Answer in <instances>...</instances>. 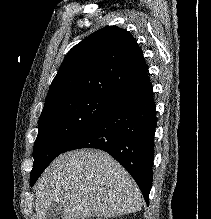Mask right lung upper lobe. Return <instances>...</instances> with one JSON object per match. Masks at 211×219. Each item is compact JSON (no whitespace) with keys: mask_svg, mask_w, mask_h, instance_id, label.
<instances>
[{"mask_svg":"<svg viewBox=\"0 0 211 219\" xmlns=\"http://www.w3.org/2000/svg\"><path fill=\"white\" fill-rule=\"evenodd\" d=\"M150 84L142 50L132 35L108 26L68 52L51 83L43 110L81 97H98L117 104Z\"/></svg>","mask_w":211,"mask_h":219,"instance_id":"cb5924a9","label":"right lung upper lobe"}]
</instances>
